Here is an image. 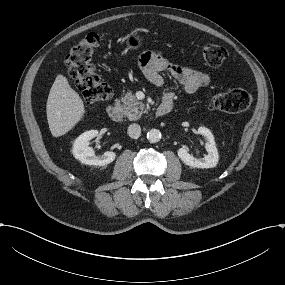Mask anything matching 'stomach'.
<instances>
[{
	"label": "stomach",
	"mask_w": 285,
	"mask_h": 285,
	"mask_svg": "<svg viewBox=\"0 0 285 285\" xmlns=\"http://www.w3.org/2000/svg\"><path fill=\"white\" fill-rule=\"evenodd\" d=\"M126 44L132 49H137L141 44V38L137 33H132L124 38Z\"/></svg>",
	"instance_id": "obj_1"
}]
</instances>
